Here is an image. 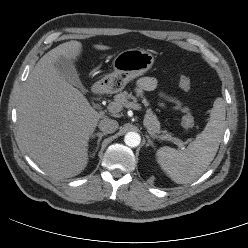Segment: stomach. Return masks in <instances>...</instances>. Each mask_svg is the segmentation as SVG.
Wrapping results in <instances>:
<instances>
[{
  "label": "stomach",
  "mask_w": 248,
  "mask_h": 248,
  "mask_svg": "<svg viewBox=\"0 0 248 248\" xmlns=\"http://www.w3.org/2000/svg\"><path fill=\"white\" fill-rule=\"evenodd\" d=\"M153 55L142 49H128L120 52L113 60L114 71L105 75L99 84L103 90L117 93L128 82L146 73L153 65Z\"/></svg>",
  "instance_id": "obj_1"
}]
</instances>
